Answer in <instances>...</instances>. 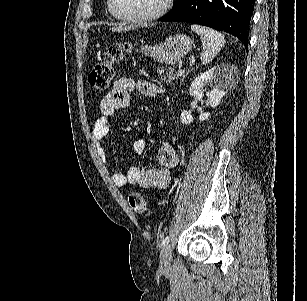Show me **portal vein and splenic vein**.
I'll use <instances>...</instances> for the list:
<instances>
[{
	"mask_svg": "<svg viewBox=\"0 0 307 301\" xmlns=\"http://www.w3.org/2000/svg\"><path fill=\"white\" fill-rule=\"evenodd\" d=\"M184 72H185V70H182V68H181V70H178V76H182V74H184Z\"/></svg>",
	"mask_w": 307,
	"mask_h": 301,
	"instance_id": "18ae733b",
	"label": "portal vein and splenic vein"
}]
</instances>
